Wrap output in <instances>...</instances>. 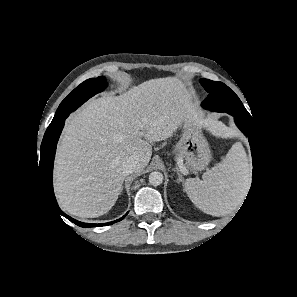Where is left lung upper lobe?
<instances>
[{
    "label": "left lung upper lobe",
    "mask_w": 297,
    "mask_h": 297,
    "mask_svg": "<svg viewBox=\"0 0 297 297\" xmlns=\"http://www.w3.org/2000/svg\"><path fill=\"white\" fill-rule=\"evenodd\" d=\"M200 82L209 93L202 102L204 108L217 112H226L243 120L253 121L238 96L224 83L209 79H201Z\"/></svg>",
    "instance_id": "5c2ea615"
}]
</instances>
